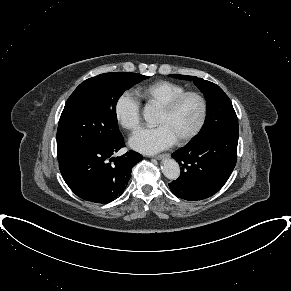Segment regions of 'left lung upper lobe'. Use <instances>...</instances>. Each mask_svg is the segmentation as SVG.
<instances>
[{"label":"left lung upper lobe","instance_id":"obj_1","mask_svg":"<svg viewBox=\"0 0 291 291\" xmlns=\"http://www.w3.org/2000/svg\"><path fill=\"white\" fill-rule=\"evenodd\" d=\"M171 76L178 79L193 80L207 100V116L205 123L199 134L190 142L201 141L218 132H238V119L232 103L219 86L201 78H196L195 76Z\"/></svg>","mask_w":291,"mask_h":291}]
</instances>
